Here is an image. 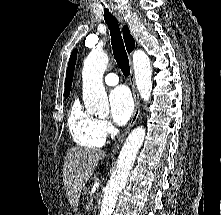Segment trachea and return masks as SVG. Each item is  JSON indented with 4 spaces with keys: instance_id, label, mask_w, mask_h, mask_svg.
Wrapping results in <instances>:
<instances>
[{
    "instance_id": "obj_1",
    "label": "trachea",
    "mask_w": 221,
    "mask_h": 215,
    "mask_svg": "<svg viewBox=\"0 0 221 215\" xmlns=\"http://www.w3.org/2000/svg\"><path fill=\"white\" fill-rule=\"evenodd\" d=\"M104 20L110 30L114 58L122 73L128 76L130 74V66L121 31L116 18L106 8H104Z\"/></svg>"
}]
</instances>
